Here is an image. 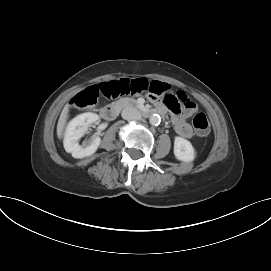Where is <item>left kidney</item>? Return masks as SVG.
<instances>
[{
    "instance_id": "obj_1",
    "label": "left kidney",
    "mask_w": 271,
    "mask_h": 271,
    "mask_svg": "<svg viewBox=\"0 0 271 271\" xmlns=\"http://www.w3.org/2000/svg\"><path fill=\"white\" fill-rule=\"evenodd\" d=\"M174 155L180 161L191 162L196 154L190 141L177 136L174 140Z\"/></svg>"
}]
</instances>
